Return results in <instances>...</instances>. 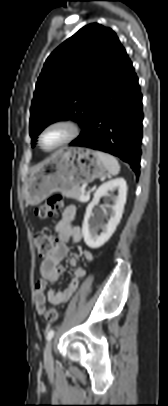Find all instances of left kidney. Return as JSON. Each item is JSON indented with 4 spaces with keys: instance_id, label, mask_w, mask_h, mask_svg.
I'll return each mask as SVG.
<instances>
[{
    "instance_id": "left-kidney-1",
    "label": "left kidney",
    "mask_w": 168,
    "mask_h": 406,
    "mask_svg": "<svg viewBox=\"0 0 168 406\" xmlns=\"http://www.w3.org/2000/svg\"><path fill=\"white\" fill-rule=\"evenodd\" d=\"M117 191L118 195L113 193ZM127 185L124 178L112 179L103 183L95 192L93 200L86 208L84 221L82 224V234L86 245L92 249H97L104 245L116 230L117 225L122 218L124 205L126 203ZM103 196H108L113 201V205L107 204L109 209L107 213H101L102 217L109 216L107 224H103L98 218L92 214L94 206H96ZM102 229V233L97 235L98 229Z\"/></svg>"
}]
</instances>
